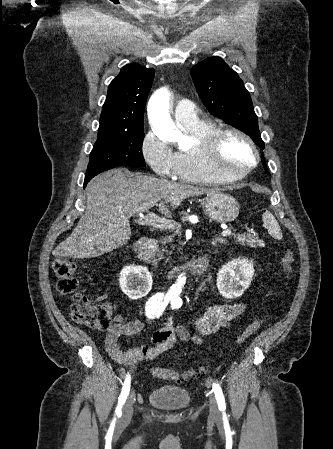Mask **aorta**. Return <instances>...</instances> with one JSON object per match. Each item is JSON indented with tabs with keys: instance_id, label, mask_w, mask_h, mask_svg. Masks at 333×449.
Here are the masks:
<instances>
[{
	"instance_id": "obj_1",
	"label": "aorta",
	"mask_w": 333,
	"mask_h": 449,
	"mask_svg": "<svg viewBox=\"0 0 333 449\" xmlns=\"http://www.w3.org/2000/svg\"><path fill=\"white\" fill-rule=\"evenodd\" d=\"M169 98L170 93L166 88L156 91L148 104V118L154 133L159 138L181 143L185 140V137L171 120ZM185 281V276H179L171 291L176 295L182 294Z\"/></svg>"
}]
</instances>
